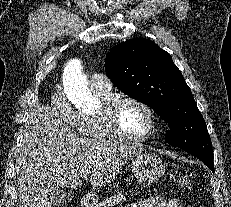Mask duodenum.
Here are the masks:
<instances>
[{"label": "duodenum", "mask_w": 231, "mask_h": 207, "mask_svg": "<svg viewBox=\"0 0 231 207\" xmlns=\"http://www.w3.org/2000/svg\"><path fill=\"white\" fill-rule=\"evenodd\" d=\"M95 199L96 195L94 193H85L81 199V207H91L94 204Z\"/></svg>", "instance_id": "1"}]
</instances>
